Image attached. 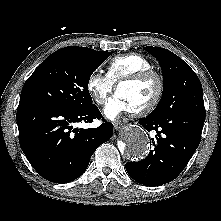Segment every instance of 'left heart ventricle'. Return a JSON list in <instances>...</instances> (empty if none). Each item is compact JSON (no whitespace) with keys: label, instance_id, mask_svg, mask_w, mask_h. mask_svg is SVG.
<instances>
[{"label":"left heart ventricle","instance_id":"obj_1","mask_svg":"<svg viewBox=\"0 0 221 221\" xmlns=\"http://www.w3.org/2000/svg\"><path fill=\"white\" fill-rule=\"evenodd\" d=\"M156 89V82L147 80L135 84L121 85L117 93L126 100L132 110H136L145 106L154 98Z\"/></svg>","mask_w":221,"mask_h":221}]
</instances>
